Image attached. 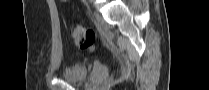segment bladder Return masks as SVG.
<instances>
[{
  "mask_svg": "<svg viewBox=\"0 0 209 90\" xmlns=\"http://www.w3.org/2000/svg\"><path fill=\"white\" fill-rule=\"evenodd\" d=\"M87 76H88V70L86 66L82 64L75 63V64L67 65L63 70V77L68 81H72V82L81 81L87 78Z\"/></svg>",
  "mask_w": 209,
  "mask_h": 90,
  "instance_id": "1",
  "label": "bladder"
}]
</instances>
